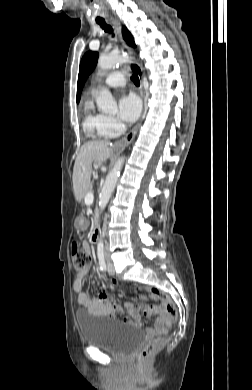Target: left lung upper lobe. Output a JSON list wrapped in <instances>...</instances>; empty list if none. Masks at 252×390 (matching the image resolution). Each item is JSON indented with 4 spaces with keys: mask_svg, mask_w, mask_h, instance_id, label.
I'll return each instance as SVG.
<instances>
[{
    "mask_svg": "<svg viewBox=\"0 0 252 390\" xmlns=\"http://www.w3.org/2000/svg\"><path fill=\"white\" fill-rule=\"evenodd\" d=\"M122 32H123L124 40L130 46L135 47V43L130 32L125 27H123ZM97 57H98V53L89 51L81 59L79 75H78V84H77V102H79L80 100L81 91L88 75L95 68Z\"/></svg>",
    "mask_w": 252,
    "mask_h": 390,
    "instance_id": "1",
    "label": "left lung upper lobe"
}]
</instances>
